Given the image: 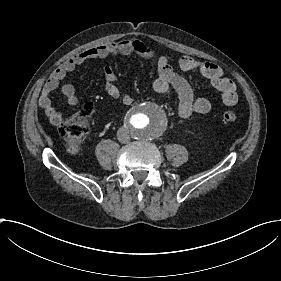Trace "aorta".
I'll return each instance as SVG.
<instances>
[{
  "instance_id": "1",
  "label": "aorta",
  "mask_w": 281,
  "mask_h": 281,
  "mask_svg": "<svg viewBox=\"0 0 281 281\" xmlns=\"http://www.w3.org/2000/svg\"><path fill=\"white\" fill-rule=\"evenodd\" d=\"M165 111L152 102L138 103L129 111L127 125L136 139L149 140L161 135L167 127Z\"/></svg>"
}]
</instances>
